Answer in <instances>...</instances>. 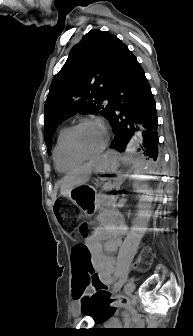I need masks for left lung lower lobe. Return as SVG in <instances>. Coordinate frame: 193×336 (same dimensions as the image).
<instances>
[{
    "mask_svg": "<svg viewBox=\"0 0 193 336\" xmlns=\"http://www.w3.org/2000/svg\"><path fill=\"white\" fill-rule=\"evenodd\" d=\"M109 117L114 139L110 148L122 152L135 132L137 123L146 129L142 133L145 154L158 157L156 105L144 70L132 52L126 48L110 96Z\"/></svg>",
    "mask_w": 193,
    "mask_h": 336,
    "instance_id": "obj_1",
    "label": "left lung lower lobe"
}]
</instances>
